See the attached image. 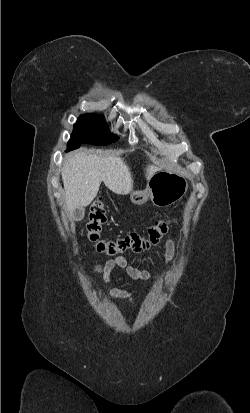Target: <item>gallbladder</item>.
<instances>
[{
	"mask_svg": "<svg viewBox=\"0 0 250 413\" xmlns=\"http://www.w3.org/2000/svg\"><path fill=\"white\" fill-rule=\"evenodd\" d=\"M84 209L83 208H80V209H75L73 212H72V215H73V218L76 220V221H81L83 218H84Z\"/></svg>",
	"mask_w": 250,
	"mask_h": 413,
	"instance_id": "1",
	"label": "gallbladder"
}]
</instances>
